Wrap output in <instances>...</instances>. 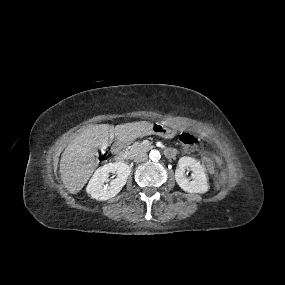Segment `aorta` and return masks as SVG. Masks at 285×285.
Listing matches in <instances>:
<instances>
[{
	"instance_id": "762f6f07",
	"label": "aorta",
	"mask_w": 285,
	"mask_h": 285,
	"mask_svg": "<svg viewBox=\"0 0 285 285\" xmlns=\"http://www.w3.org/2000/svg\"><path fill=\"white\" fill-rule=\"evenodd\" d=\"M149 157L152 161H157L161 158V154L158 150H151Z\"/></svg>"
}]
</instances>
